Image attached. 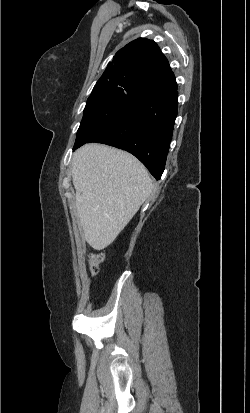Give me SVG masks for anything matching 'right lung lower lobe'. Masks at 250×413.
<instances>
[{"label":"right lung lower lobe","mask_w":250,"mask_h":413,"mask_svg":"<svg viewBox=\"0 0 250 413\" xmlns=\"http://www.w3.org/2000/svg\"><path fill=\"white\" fill-rule=\"evenodd\" d=\"M177 108V87L141 95L129 101L119 115L87 143H104L132 153L159 180L165 168Z\"/></svg>","instance_id":"98d812e1"}]
</instances>
